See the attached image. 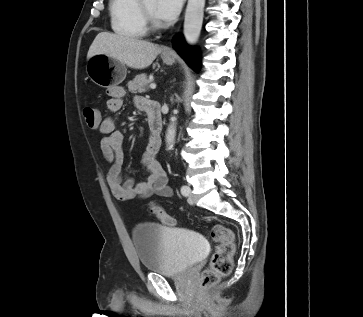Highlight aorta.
<instances>
[{
    "label": "aorta",
    "mask_w": 363,
    "mask_h": 317,
    "mask_svg": "<svg viewBox=\"0 0 363 317\" xmlns=\"http://www.w3.org/2000/svg\"><path fill=\"white\" fill-rule=\"evenodd\" d=\"M205 0H188L185 20H184V37L189 45H194L200 36ZM176 136V118L171 119L166 133V143L171 150L174 145Z\"/></svg>",
    "instance_id": "obj_1"
}]
</instances>
